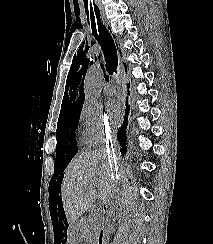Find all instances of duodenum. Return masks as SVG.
I'll return each instance as SVG.
<instances>
[{
  "label": "duodenum",
  "mask_w": 213,
  "mask_h": 244,
  "mask_svg": "<svg viewBox=\"0 0 213 244\" xmlns=\"http://www.w3.org/2000/svg\"><path fill=\"white\" fill-rule=\"evenodd\" d=\"M103 220L107 221L108 219V209L104 208L103 209ZM104 236H105V230L102 229L99 233V237H98V244H104Z\"/></svg>",
  "instance_id": "obj_1"
}]
</instances>
